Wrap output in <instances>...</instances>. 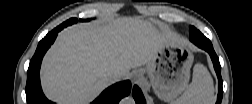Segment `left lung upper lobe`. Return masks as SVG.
Wrapping results in <instances>:
<instances>
[{"mask_svg": "<svg viewBox=\"0 0 252 104\" xmlns=\"http://www.w3.org/2000/svg\"><path fill=\"white\" fill-rule=\"evenodd\" d=\"M198 31L195 27L190 26V35H194V33ZM209 47H213L212 44L208 45Z\"/></svg>", "mask_w": 252, "mask_h": 104, "instance_id": "5c2ea615", "label": "left lung upper lobe"}]
</instances>
